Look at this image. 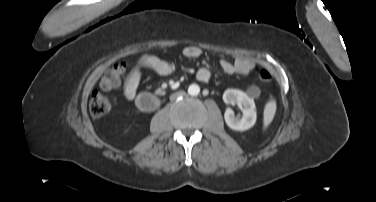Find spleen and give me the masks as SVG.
Instances as JSON below:
<instances>
[{
    "instance_id": "obj_1",
    "label": "spleen",
    "mask_w": 376,
    "mask_h": 202,
    "mask_svg": "<svg viewBox=\"0 0 376 202\" xmlns=\"http://www.w3.org/2000/svg\"><path fill=\"white\" fill-rule=\"evenodd\" d=\"M276 112V103L274 100L268 102L264 110V126L266 127L273 119Z\"/></svg>"
}]
</instances>
